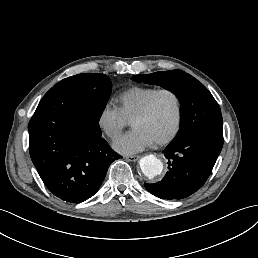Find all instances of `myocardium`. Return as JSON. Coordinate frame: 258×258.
<instances>
[{
	"mask_svg": "<svg viewBox=\"0 0 258 258\" xmlns=\"http://www.w3.org/2000/svg\"><path fill=\"white\" fill-rule=\"evenodd\" d=\"M172 95L175 99V113L173 116V120L171 122V125L169 129L166 131L164 134H159L157 133L154 128H153V121H154V116H155V108L158 100L163 96V95ZM180 117H181V100L178 94L175 92L168 90V89H162L158 90L156 94L152 97L150 100L148 107L145 111V113L142 115V117L139 119V125L142 129V131L153 138L156 141H166L174 136L176 133L179 122H180Z\"/></svg>",
	"mask_w": 258,
	"mask_h": 258,
	"instance_id": "myocardium-1",
	"label": "myocardium"
}]
</instances>
